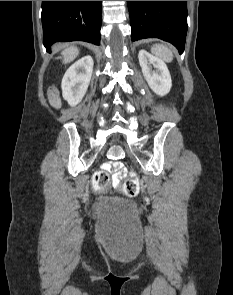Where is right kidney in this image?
Returning a JSON list of instances; mask_svg holds the SVG:
<instances>
[{
	"instance_id": "obj_1",
	"label": "right kidney",
	"mask_w": 233,
	"mask_h": 295,
	"mask_svg": "<svg viewBox=\"0 0 233 295\" xmlns=\"http://www.w3.org/2000/svg\"><path fill=\"white\" fill-rule=\"evenodd\" d=\"M93 58L84 56L76 61L63 76L62 79V96L70 106H75L83 99L87 92L92 71Z\"/></svg>"
}]
</instances>
